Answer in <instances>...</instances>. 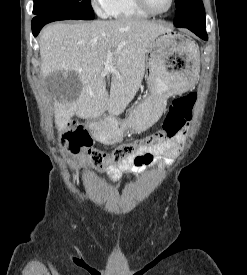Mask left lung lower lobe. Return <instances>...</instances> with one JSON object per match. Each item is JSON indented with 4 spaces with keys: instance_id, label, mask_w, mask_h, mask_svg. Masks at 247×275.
I'll return each instance as SVG.
<instances>
[{
    "instance_id": "1",
    "label": "left lung lower lobe",
    "mask_w": 247,
    "mask_h": 275,
    "mask_svg": "<svg viewBox=\"0 0 247 275\" xmlns=\"http://www.w3.org/2000/svg\"><path fill=\"white\" fill-rule=\"evenodd\" d=\"M195 33L203 40H208V36L206 33V27H184Z\"/></svg>"
}]
</instances>
